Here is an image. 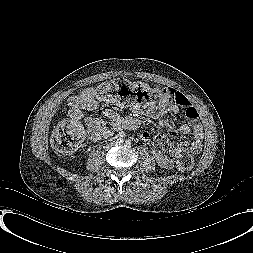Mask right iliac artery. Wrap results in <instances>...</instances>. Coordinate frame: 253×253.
<instances>
[{"label":"right iliac artery","mask_w":253,"mask_h":253,"mask_svg":"<svg viewBox=\"0 0 253 253\" xmlns=\"http://www.w3.org/2000/svg\"><path fill=\"white\" fill-rule=\"evenodd\" d=\"M120 136H121V137H123V136H124V134H122V135H120ZM121 137H120V138H118V139H117V141L122 142V141H123V138H121Z\"/></svg>","instance_id":"obj_1"}]
</instances>
